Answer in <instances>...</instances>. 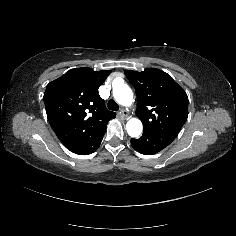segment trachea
Returning a JSON list of instances; mask_svg holds the SVG:
<instances>
[{"label": "trachea", "instance_id": "3493384b", "mask_svg": "<svg viewBox=\"0 0 236 236\" xmlns=\"http://www.w3.org/2000/svg\"><path fill=\"white\" fill-rule=\"evenodd\" d=\"M107 106H108L109 110H112V111H118L119 110L118 104L113 99H110L108 101Z\"/></svg>", "mask_w": 236, "mask_h": 236}]
</instances>
